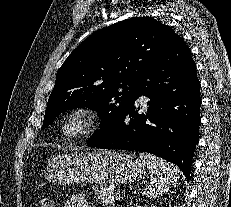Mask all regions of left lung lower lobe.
<instances>
[{
    "label": "left lung lower lobe",
    "instance_id": "1",
    "mask_svg": "<svg viewBox=\"0 0 231 207\" xmlns=\"http://www.w3.org/2000/svg\"><path fill=\"white\" fill-rule=\"evenodd\" d=\"M138 99H150L147 113L135 101L119 128L89 147L149 152L176 164L190 180L199 141L200 82L190 49L181 37L145 68L138 80Z\"/></svg>",
    "mask_w": 231,
    "mask_h": 207
}]
</instances>
